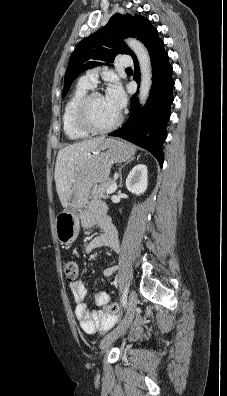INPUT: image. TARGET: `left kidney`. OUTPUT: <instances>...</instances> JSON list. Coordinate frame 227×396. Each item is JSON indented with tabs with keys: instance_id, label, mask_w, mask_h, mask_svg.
<instances>
[{
	"instance_id": "left-kidney-1",
	"label": "left kidney",
	"mask_w": 227,
	"mask_h": 396,
	"mask_svg": "<svg viewBox=\"0 0 227 396\" xmlns=\"http://www.w3.org/2000/svg\"><path fill=\"white\" fill-rule=\"evenodd\" d=\"M148 186V171L144 164H138L132 168L127 179L126 188L130 192L140 195L143 194Z\"/></svg>"
}]
</instances>
